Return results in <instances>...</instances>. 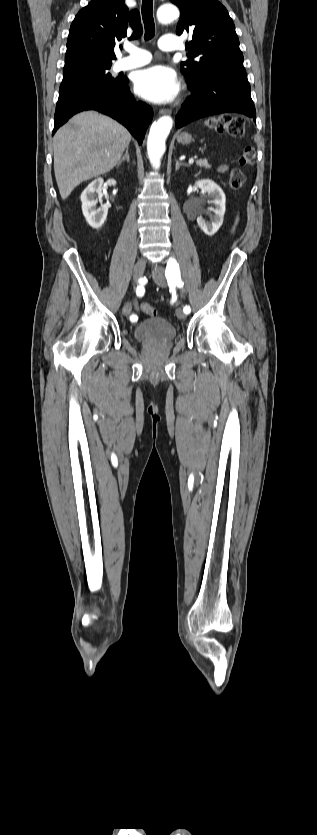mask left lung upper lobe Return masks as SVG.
<instances>
[{
	"instance_id": "1",
	"label": "left lung upper lobe",
	"mask_w": 317,
	"mask_h": 835,
	"mask_svg": "<svg viewBox=\"0 0 317 835\" xmlns=\"http://www.w3.org/2000/svg\"><path fill=\"white\" fill-rule=\"evenodd\" d=\"M181 12L176 33L189 32L187 42L190 60L181 63L187 82H197L215 64L242 66L235 26L226 8L216 0H170ZM192 56L198 57L194 61Z\"/></svg>"
}]
</instances>
